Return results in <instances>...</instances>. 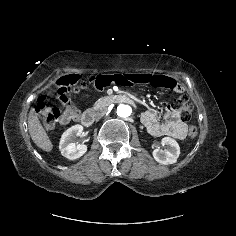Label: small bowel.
I'll list each match as a JSON object with an SVG mask.
<instances>
[{"instance_id":"obj_1","label":"small bowel","mask_w":236,"mask_h":236,"mask_svg":"<svg viewBox=\"0 0 236 236\" xmlns=\"http://www.w3.org/2000/svg\"><path fill=\"white\" fill-rule=\"evenodd\" d=\"M144 83L155 87L182 91L183 87L173 78L155 73H126L114 72L104 75H93L89 79V86L93 90L104 88H123L126 84ZM65 110L61 115L60 122L68 124L72 120H78L80 111L73 105L64 104ZM142 122L153 136H170L182 140L187 136V125L182 121L180 114L172 107H167L165 121H161L159 115L152 110L142 114Z\"/></svg>"}]
</instances>
